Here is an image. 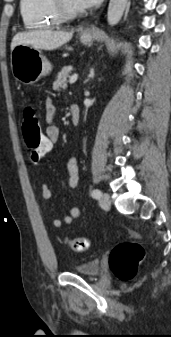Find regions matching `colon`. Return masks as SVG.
I'll return each mask as SVG.
<instances>
[{
  "label": "colon",
  "mask_w": 171,
  "mask_h": 337,
  "mask_svg": "<svg viewBox=\"0 0 171 337\" xmlns=\"http://www.w3.org/2000/svg\"><path fill=\"white\" fill-rule=\"evenodd\" d=\"M22 134L31 162H39L48 151H51V140H47L41 133L32 107H28L24 112ZM66 243L74 251H85L89 248V240L86 237L69 238ZM144 255L145 252L140 243L135 240L124 241L112 249L109 257L110 269L120 281L130 282L136 277L138 265Z\"/></svg>",
  "instance_id": "1"
}]
</instances>
